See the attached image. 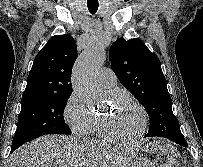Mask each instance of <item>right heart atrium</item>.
<instances>
[{"label": "right heart atrium", "instance_id": "1", "mask_svg": "<svg viewBox=\"0 0 203 167\" xmlns=\"http://www.w3.org/2000/svg\"><path fill=\"white\" fill-rule=\"evenodd\" d=\"M65 123L73 134L85 136L93 131L95 116L76 92H72L63 109Z\"/></svg>", "mask_w": 203, "mask_h": 167}]
</instances>
